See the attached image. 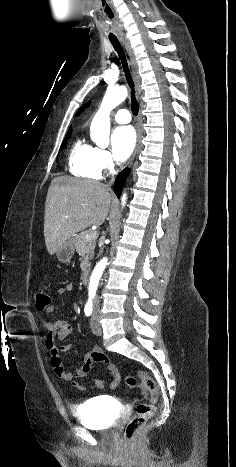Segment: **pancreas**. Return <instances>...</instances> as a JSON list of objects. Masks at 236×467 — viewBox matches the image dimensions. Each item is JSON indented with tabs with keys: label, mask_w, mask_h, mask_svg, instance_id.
<instances>
[{
	"label": "pancreas",
	"mask_w": 236,
	"mask_h": 467,
	"mask_svg": "<svg viewBox=\"0 0 236 467\" xmlns=\"http://www.w3.org/2000/svg\"><path fill=\"white\" fill-rule=\"evenodd\" d=\"M92 231H84L74 236L73 243L76 251L83 257L80 264L82 272H85L89 267V260L92 259L96 245V239L86 240L85 236Z\"/></svg>",
	"instance_id": "1"
}]
</instances>
